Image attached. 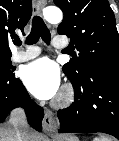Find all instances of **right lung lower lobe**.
<instances>
[{"label": "right lung lower lobe", "instance_id": "obj_1", "mask_svg": "<svg viewBox=\"0 0 119 141\" xmlns=\"http://www.w3.org/2000/svg\"><path fill=\"white\" fill-rule=\"evenodd\" d=\"M23 107L26 111L28 122L37 131L42 130L43 109L30 99L24 85L19 78H6L0 76V123L3 122L10 110Z\"/></svg>", "mask_w": 119, "mask_h": 141}]
</instances>
